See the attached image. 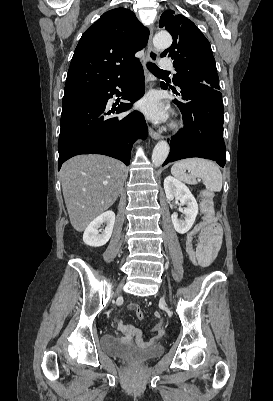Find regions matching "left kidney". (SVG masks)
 <instances>
[{
    "instance_id": "5707ae66",
    "label": "left kidney",
    "mask_w": 273,
    "mask_h": 401,
    "mask_svg": "<svg viewBox=\"0 0 273 401\" xmlns=\"http://www.w3.org/2000/svg\"><path fill=\"white\" fill-rule=\"evenodd\" d=\"M164 188L167 198H171V201L172 198H177V201H180L181 205H186L184 211H182L183 215H186L184 221L178 219L177 213L171 215L175 231L180 233V235H184V233H188L189 229L194 225L198 215L196 198L193 196L192 192H190L188 186H186L184 182H181V180L174 178V176H166Z\"/></svg>"
}]
</instances>
